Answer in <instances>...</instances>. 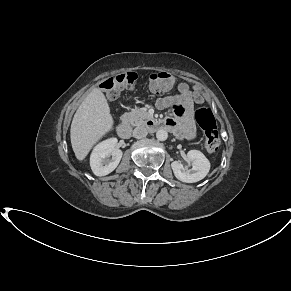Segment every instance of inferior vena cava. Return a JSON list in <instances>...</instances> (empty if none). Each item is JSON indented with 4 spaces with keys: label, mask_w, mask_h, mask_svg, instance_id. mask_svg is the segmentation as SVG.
<instances>
[{
    "label": "inferior vena cava",
    "mask_w": 291,
    "mask_h": 291,
    "mask_svg": "<svg viewBox=\"0 0 291 291\" xmlns=\"http://www.w3.org/2000/svg\"><path fill=\"white\" fill-rule=\"evenodd\" d=\"M147 134L148 129L144 125L137 126L133 131V136L138 139L147 136Z\"/></svg>",
    "instance_id": "obj_1"
}]
</instances>
